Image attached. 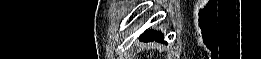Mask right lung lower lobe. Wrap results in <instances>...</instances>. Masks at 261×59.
<instances>
[{"label":"right lung lower lobe","mask_w":261,"mask_h":59,"mask_svg":"<svg viewBox=\"0 0 261 59\" xmlns=\"http://www.w3.org/2000/svg\"><path fill=\"white\" fill-rule=\"evenodd\" d=\"M140 40H143L146 42L156 40V41H161V42L167 44L163 40V35L158 31L155 32L154 30H147L143 35L140 36Z\"/></svg>","instance_id":"obj_1"}]
</instances>
